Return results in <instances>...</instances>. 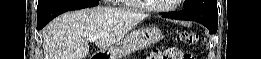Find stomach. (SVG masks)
Listing matches in <instances>:
<instances>
[{
	"instance_id": "stomach-1",
	"label": "stomach",
	"mask_w": 261,
	"mask_h": 59,
	"mask_svg": "<svg viewBox=\"0 0 261 59\" xmlns=\"http://www.w3.org/2000/svg\"><path fill=\"white\" fill-rule=\"evenodd\" d=\"M163 38L162 31L157 26H146L133 29L122 38L115 54L110 52L103 56L110 59H122V57H126L134 52L158 43Z\"/></svg>"
}]
</instances>
